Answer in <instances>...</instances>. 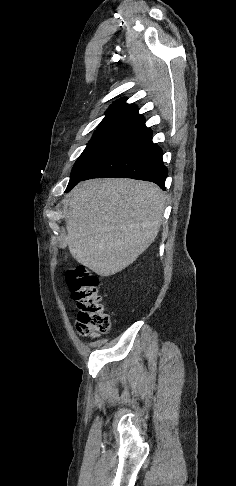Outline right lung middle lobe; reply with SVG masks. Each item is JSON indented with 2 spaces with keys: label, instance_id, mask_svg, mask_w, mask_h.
<instances>
[{
  "label": "right lung middle lobe",
  "instance_id": "right-lung-middle-lobe-1",
  "mask_svg": "<svg viewBox=\"0 0 236 486\" xmlns=\"http://www.w3.org/2000/svg\"><path fill=\"white\" fill-rule=\"evenodd\" d=\"M140 126L124 125L97 129L73 167L65 192L70 191L96 166L129 142Z\"/></svg>",
  "mask_w": 236,
  "mask_h": 486
}]
</instances>
